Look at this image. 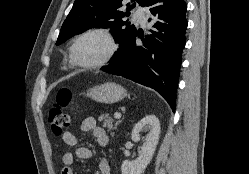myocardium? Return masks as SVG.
<instances>
[{"label":"myocardium","mask_w":249,"mask_h":174,"mask_svg":"<svg viewBox=\"0 0 249 174\" xmlns=\"http://www.w3.org/2000/svg\"><path fill=\"white\" fill-rule=\"evenodd\" d=\"M92 34H99L101 36H103L107 43H108V51L106 53V55L100 59L97 62L94 63H84L82 62L78 55H77V47L79 42L85 38L86 36L92 35ZM118 49V45L116 42V39L114 37V35L112 34V32L105 27H92L87 29L86 31H84L82 34H80L74 41L72 48H71V56L72 59L75 63V65L81 67V68H85V69H96V68H100L103 67L104 65H106L108 62H110L113 57L115 56L116 52Z\"/></svg>","instance_id":"1"}]
</instances>
